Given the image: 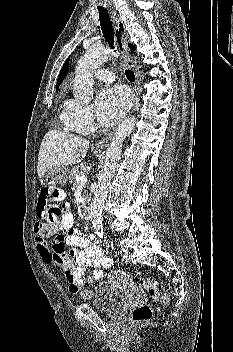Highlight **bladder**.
Here are the masks:
<instances>
[{"label": "bladder", "instance_id": "1", "mask_svg": "<svg viewBox=\"0 0 233 352\" xmlns=\"http://www.w3.org/2000/svg\"><path fill=\"white\" fill-rule=\"evenodd\" d=\"M124 294L109 282L99 283L93 292L91 306L96 310L115 316L125 303Z\"/></svg>", "mask_w": 233, "mask_h": 352}]
</instances>
